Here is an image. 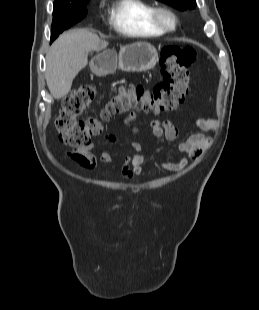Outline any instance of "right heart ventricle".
<instances>
[{
    "instance_id": "right-heart-ventricle-1",
    "label": "right heart ventricle",
    "mask_w": 259,
    "mask_h": 310,
    "mask_svg": "<svg viewBox=\"0 0 259 310\" xmlns=\"http://www.w3.org/2000/svg\"><path fill=\"white\" fill-rule=\"evenodd\" d=\"M153 6L146 0H114L109 9V24L129 37H158L165 34L151 20Z\"/></svg>"
}]
</instances>
